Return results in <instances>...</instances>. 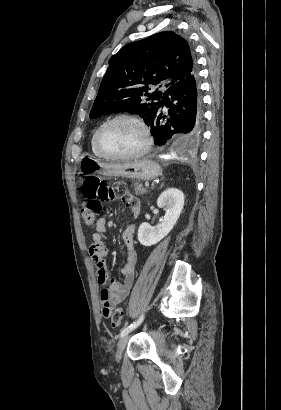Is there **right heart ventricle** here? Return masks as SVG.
I'll return each mask as SVG.
<instances>
[{"instance_id":"e07e8e85","label":"right heart ventricle","mask_w":281,"mask_h":410,"mask_svg":"<svg viewBox=\"0 0 281 410\" xmlns=\"http://www.w3.org/2000/svg\"><path fill=\"white\" fill-rule=\"evenodd\" d=\"M94 135H95V132L93 133V135H92V137H91V139H90L91 150H92V152L94 153V155H96V156H98V157H100V158H103V156L97 151V149H96V147H95Z\"/></svg>"}]
</instances>
